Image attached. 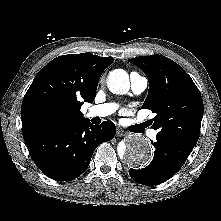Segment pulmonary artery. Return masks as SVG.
<instances>
[{
  "instance_id": "pulmonary-artery-1",
  "label": "pulmonary artery",
  "mask_w": 221,
  "mask_h": 221,
  "mask_svg": "<svg viewBox=\"0 0 221 221\" xmlns=\"http://www.w3.org/2000/svg\"><path fill=\"white\" fill-rule=\"evenodd\" d=\"M130 83H131V90L135 95H140L141 93H143L148 86L147 78L137 72H132L130 74ZM116 108L117 106L114 103L95 105L89 108L88 116L89 117L109 116L115 112ZM156 135L157 132L155 130H151L149 132V136L152 138H155Z\"/></svg>"
}]
</instances>
